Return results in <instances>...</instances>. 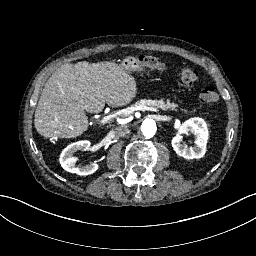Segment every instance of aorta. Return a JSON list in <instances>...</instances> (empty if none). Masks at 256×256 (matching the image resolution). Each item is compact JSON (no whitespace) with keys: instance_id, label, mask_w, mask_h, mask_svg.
Instances as JSON below:
<instances>
[{"instance_id":"762f6f07","label":"aorta","mask_w":256,"mask_h":256,"mask_svg":"<svg viewBox=\"0 0 256 256\" xmlns=\"http://www.w3.org/2000/svg\"><path fill=\"white\" fill-rule=\"evenodd\" d=\"M142 130L148 134V136H153L157 130V123L153 119H146L142 123Z\"/></svg>"}]
</instances>
